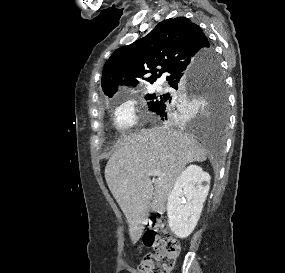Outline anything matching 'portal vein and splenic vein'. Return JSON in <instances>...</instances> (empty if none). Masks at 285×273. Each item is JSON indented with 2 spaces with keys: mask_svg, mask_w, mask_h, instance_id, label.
Returning a JSON list of instances; mask_svg holds the SVG:
<instances>
[{
  "mask_svg": "<svg viewBox=\"0 0 285 273\" xmlns=\"http://www.w3.org/2000/svg\"><path fill=\"white\" fill-rule=\"evenodd\" d=\"M149 174L153 177H160L163 175L161 172L156 171V170L151 171Z\"/></svg>",
  "mask_w": 285,
  "mask_h": 273,
  "instance_id": "obj_1",
  "label": "portal vein and splenic vein"
}]
</instances>
